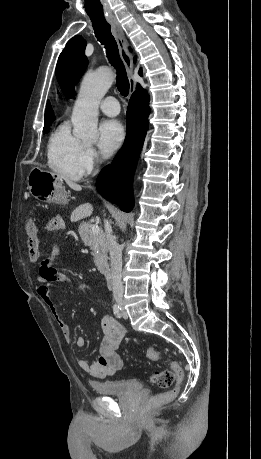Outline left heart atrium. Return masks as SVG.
<instances>
[{
  "mask_svg": "<svg viewBox=\"0 0 261 459\" xmlns=\"http://www.w3.org/2000/svg\"><path fill=\"white\" fill-rule=\"evenodd\" d=\"M125 132L122 124L117 120H105L99 127L98 146L101 154L108 158L122 145Z\"/></svg>",
  "mask_w": 261,
  "mask_h": 459,
  "instance_id": "obj_1",
  "label": "left heart atrium"
}]
</instances>
